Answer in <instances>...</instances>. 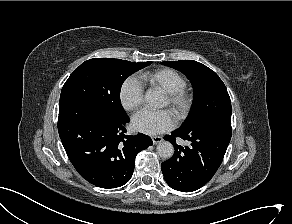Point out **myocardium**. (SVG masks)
Segmentation results:
<instances>
[{"mask_svg": "<svg viewBox=\"0 0 292 224\" xmlns=\"http://www.w3.org/2000/svg\"><path fill=\"white\" fill-rule=\"evenodd\" d=\"M167 105L179 119L185 118L190 112L193 104V97L185 90L166 93Z\"/></svg>", "mask_w": 292, "mask_h": 224, "instance_id": "1", "label": "myocardium"}]
</instances>
